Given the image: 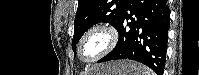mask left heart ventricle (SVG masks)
Wrapping results in <instances>:
<instances>
[{
  "instance_id": "left-heart-ventricle-1",
  "label": "left heart ventricle",
  "mask_w": 199,
  "mask_h": 75,
  "mask_svg": "<svg viewBox=\"0 0 199 75\" xmlns=\"http://www.w3.org/2000/svg\"><path fill=\"white\" fill-rule=\"evenodd\" d=\"M104 38L100 35L89 37L82 45V57L84 60H89L97 55L104 46Z\"/></svg>"
}]
</instances>
